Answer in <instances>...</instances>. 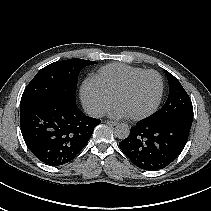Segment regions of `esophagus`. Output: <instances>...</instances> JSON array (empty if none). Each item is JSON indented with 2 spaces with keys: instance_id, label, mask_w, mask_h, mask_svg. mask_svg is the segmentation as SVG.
I'll use <instances>...</instances> for the list:
<instances>
[{
  "instance_id": "34e87169",
  "label": "esophagus",
  "mask_w": 211,
  "mask_h": 211,
  "mask_svg": "<svg viewBox=\"0 0 211 211\" xmlns=\"http://www.w3.org/2000/svg\"><path fill=\"white\" fill-rule=\"evenodd\" d=\"M105 123L109 126H116L118 124L117 122L111 120H106Z\"/></svg>"
}]
</instances>
